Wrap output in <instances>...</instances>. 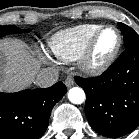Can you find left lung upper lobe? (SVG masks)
Segmentation results:
<instances>
[{
  "mask_svg": "<svg viewBox=\"0 0 139 139\" xmlns=\"http://www.w3.org/2000/svg\"><path fill=\"white\" fill-rule=\"evenodd\" d=\"M118 26L124 36L125 48L139 45V36L132 28L120 22L118 23Z\"/></svg>",
  "mask_w": 139,
  "mask_h": 139,
  "instance_id": "obj_1",
  "label": "left lung upper lobe"
}]
</instances>
